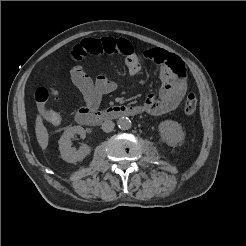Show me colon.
<instances>
[{"label":"colon","mask_w":246,"mask_h":246,"mask_svg":"<svg viewBox=\"0 0 246 246\" xmlns=\"http://www.w3.org/2000/svg\"><path fill=\"white\" fill-rule=\"evenodd\" d=\"M50 93L56 96V91H48L46 88L39 87L35 91V101L43 118L52 125H59L62 121V114L59 111L49 109L47 101ZM198 100L195 94L189 93L184 102V112L187 115H193L196 112Z\"/></svg>","instance_id":"colon-1"}]
</instances>
